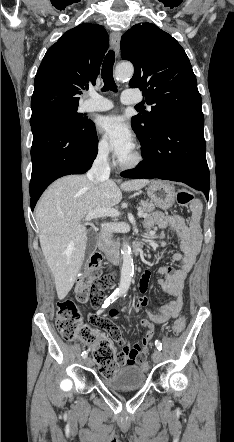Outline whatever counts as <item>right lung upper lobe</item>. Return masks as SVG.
<instances>
[{
    "label": "right lung upper lobe",
    "instance_id": "1",
    "mask_svg": "<svg viewBox=\"0 0 234 442\" xmlns=\"http://www.w3.org/2000/svg\"><path fill=\"white\" fill-rule=\"evenodd\" d=\"M108 34L100 25L83 23L64 33L46 52L35 76L32 115L79 106L78 94L95 85Z\"/></svg>",
    "mask_w": 234,
    "mask_h": 442
}]
</instances>
